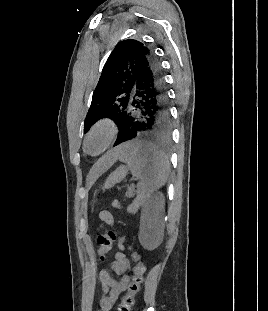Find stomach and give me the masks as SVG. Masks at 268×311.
I'll list each match as a JSON object with an SVG mask.
<instances>
[{"label": "stomach", "instance_id": "stomach-1", "mask_svg": "<svg viewBox=\"0 0 268 311\" xmlns=\"http://www.w3.org/2000/svg\"><path fill=\"white\" fill-rule=\"evenodd\" d=\"M128 168L125 166L118 167L114 172H112L106 179L103 190L112 188L116 183L121 182L127 175Z\"/></svg>", "mask_w": 268, "mask_h": 311}]
</instances>
